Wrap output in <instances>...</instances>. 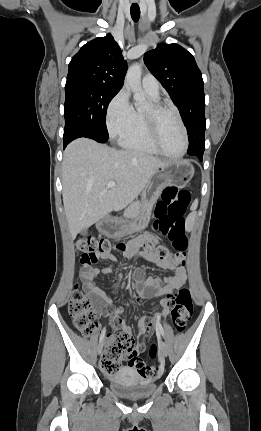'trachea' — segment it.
Masks as SVG:
<instances>
[{
	"label": "trachea",
	"mask_w": 261,
	"mask_h": 431,
	"mask_svg": "<svg viewBox=\"0 0 261 431\" xmlns=\"http://www.w3.org/2000/svg\"><path fill=\"white\" fill-rule=\"evenodd\" d=\"M132 19L137 22L140 18V8L138 4H132L130 9Z\"/></svg>",
	"instance_id": "3493384b"
}]
</instances>
